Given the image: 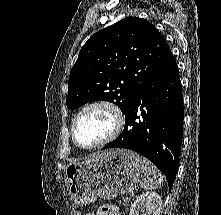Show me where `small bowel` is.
<instances>
[{
  "label": "small bowel",
  "instance_id": "c3829d8e",
  "mask_svg": "<svg viewBox=\"0 0 221 215\" xmlns=\"http://www.w3.org/2000/svg\"><path fill=\"white\" fill-rule=\"evenodd\" d=\"M85 215H121L118 208L113 205H104L96 212H89Z\"/></svg>",
  "mask_w": 221,
  "mask_h": 215
}]
</instances>
